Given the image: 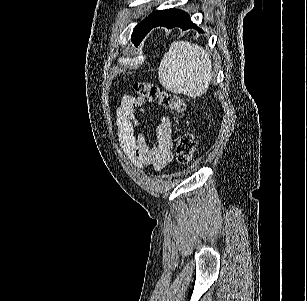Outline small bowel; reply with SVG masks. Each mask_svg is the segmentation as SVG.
<instances>
[{
	"instance_id": "obj_1",
	"label": "small bowel",
	"mask_w": 307,
	"mask_h": 301,
	"mask_svg": "<svg viewBox=\"0 0 307 301\" xmlns=\"http://www.w3.org/2000/svg\"><path fill=\"white\" fill-rule=\"evenodd\" d=\"M146 100L143 97L124 96L116 109V125L121 149L136 167L152 166L162 170L172 159V123L162 116L153 132V144L149 146L144 135L137 130L139 121L136 112H143Z\"/></svg>"
}]
</instances>
